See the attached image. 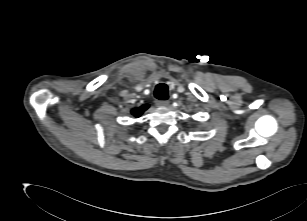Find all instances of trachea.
Listing matches in <instances>:
<instances>
[{"label": "trachea", "instance_id": "obj_1", "mask_svg": "<svg viewBox=\"0 0 307 221\" xmlns=\"http://www.w3.org/2000/svg\"><path fill=\"white\" fill-rule=\"evenodd\" d=\"M154 96L159 100L168 99V86L164 83H160L156 86Z\"/></svg>", "mask_w": 307, "mask_h": 221}]
</instances>
